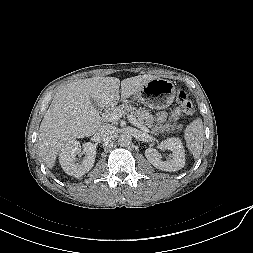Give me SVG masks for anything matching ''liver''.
Instances as JSON below:
<instances>
[{
    "label": "liver",
    "instance_id": "6515ba94",
    "mask_svg": "<svg viewBox=\"0 0 253 253\" xmlns=\"http://www.w3.org/2000/svg\"><path fill=\"white\" fill-rule=\"evenodd\" d=\"M153 75H138L120 82L116 77H92L62 86L40 125L38 149L48 168H53L59 150L69 141L89 137L102 124L98 110L91 104L93 98L98 106L106 107L121 98L137 94Z\"/></svg>",
    "mask_w": 253,
    "mask_h": 253
}]
</instances>
